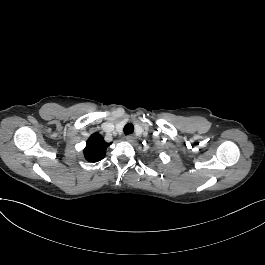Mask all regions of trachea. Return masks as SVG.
<instances>
[{"instance_id":"obj_1","label":"trachea","mask_w":265,"mask_h":265,"mask_svg":"<svg viewBox=\"0 0 265 265\" xmlns=\"http://www.w3.org/2000/svg\"><path fill=\"white\" fill-rule=\"evenodd\" d=\"M133 131H134V126H133V124L128 123V124H126V125L124 126V134H125V135H130V134L133 133Z\"/></svg>"}]
</instances>
